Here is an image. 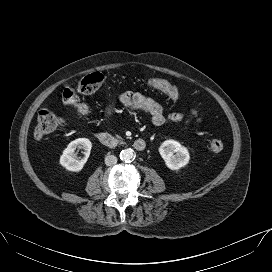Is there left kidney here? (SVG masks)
<instances>
[{"mask_svg":"<svg viewBox=\"0 0 272 272\" xmlns=\"http://www.w3.org/2000/svg\"><path fill=\"white\" fill-rule=\"evenodd\" d=\"M159 153L166 166L171 170H178L189 163L190 156L186 147L175 140H166L159 147Z\"/></svg>","mask_w":272,"mask_h":272,"instance_id":"1","label":"left kidney"}]
</instances>
